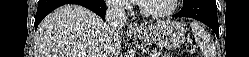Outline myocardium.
Wrapping results in <instances>:
<instances>
[{"label": "myocardium", "mask_w": 249, "mask_h": 57, "mask_svg": "<svg viewBox=\"0 0 249 57\" xmlns=\"http://www.w3.org/2000/svg\"><path fill=\"white\" fill-rule=\"evenodd\" d=\"M178 0H171V5L170 7L165 10V11H161V12H149L145 9L142 1L139 2L138 5V10L140 12V14H142L143 16L150 18V19H162L165 18L169 15H171L177 8L178 5Z\"/></svg>", "instance_id": "1"}]
</instances>
